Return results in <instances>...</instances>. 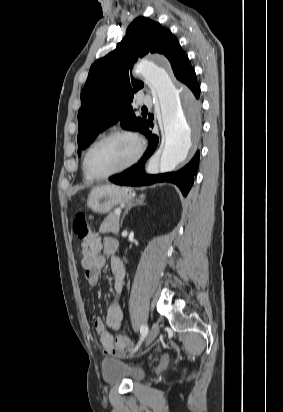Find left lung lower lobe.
Here are the masks:
<instances>
[{
	"mask_svg": "<svg viewBox=\"0 0 283 412\" xmlns=\"http://www.w3.org/2000/svg\"><path fill=\"white\" fill-rule=\"evenodd\" d=\"M181 82L190 88L197 99L199 98L200 86L197 82L194 70H192ZM150 127H153V125L148 122L146 128L142 131V133H144L149 139V147L143 155L141 161L123 173L111 176L109 180L115 184L126 186H143L161 182H169L178 186L182 194L186 196L192 187L194 175L198 169L199 152H197L192 160L179 171L156 175L145 174L144 164L156 150L159 141V138L152 134L149 130Z\"/></svg>",
	"mask_w": 283,
	"mask_h": 412,
	"instance_id": "obj_1",
	"label": "left lung lower lobe"
}]
</instances>
